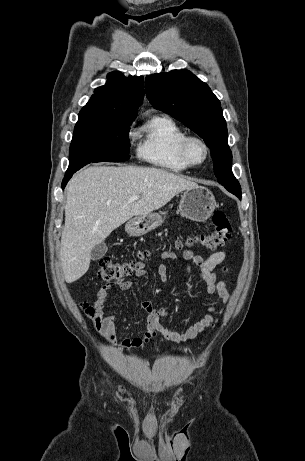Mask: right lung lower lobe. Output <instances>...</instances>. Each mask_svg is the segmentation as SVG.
Returning a JSON list of instances; mask_svg holds the SVG:
<instances>
[{"mask_svg": "<svg viewBox=\"0 0 305 461\" xmlns=\"http://www.w3.org/2000/svg\"><path fill=\"white\" fill-rule=\"evenodd\" d=\"M80 168L78 167H75V168H71V169H68L65 173V177L62 181V188H64L67 184V182L69 181V179L72 177V175Z\"/></svg>", "mask_w": 305, "mask_h": 461, "instance_id": "obj_1", "label": "right lung lower lobe"}]
</instances>
